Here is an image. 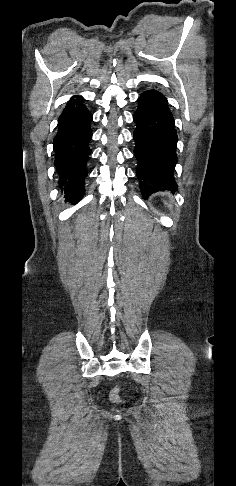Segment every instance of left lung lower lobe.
<instances>
[{"label":"left lung lower lobe","mask_w":236,"mask_h":486,"mask_svg":"<svg viewBox=\"0 0 236 486\" xmlns=\"http://www.w3.org/2000/svg\"><path fill=\"white\" fill-rule=\"evenodd\" d=\"M136 123L134 155L138 160L136 175L144 198L157 191L177 189L173 173L177 163V133L166 97L156 90L140 94Z\"/></svg>","instance_id":"obj_1"}]
</instances>
